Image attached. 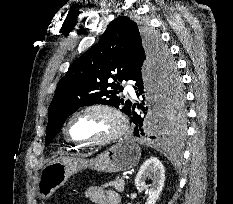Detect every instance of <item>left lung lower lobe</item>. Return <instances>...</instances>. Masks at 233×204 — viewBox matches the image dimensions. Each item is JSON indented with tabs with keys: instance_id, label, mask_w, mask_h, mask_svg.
I'll return each instance as SVG.
<instances>
[{
	"instance_id": "obj_1",
	"label": "left lung lower lobe",
	"mask_w": 233,
	"mask_h": 204,
	"mask_svg": "<svg viewBox=\"0 0 233 204\" xmlns=\"http://www.w3.org/2000/svg\"><path fill=\"white\" fill-rule=\"evenodd\" d=\"M143 64V59L139 56L136 61L134 68L131 72L129 80L135 82V89L137 96H142L144 98V89L149 90L156 94V106L155 114L153 119H146L145 115L148 108L141 104H132L130 108L127 109L125 114L130 116V122L134 125V135L137 137L145 136L147 133L152 134L151 139H163L167 133L174 131H180L181 129L175 128L174 126L168 125L164 119L163 109H162V99H161V87L157 78V75L148 66V72L145 74V81L142 79L141 66ZM145 84V85H144ZM180 88V85H179ZM144 104V102L142 101ZM135 108L141 109L142 112L137 113Z\"/></svg>"
}]
</instances>
